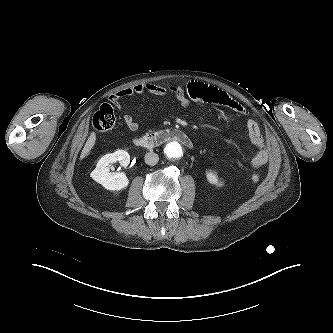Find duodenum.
<instances>
[{
	"label": "duodenum",
	"mask_w": 333,
	"mask_h": 333,
	"mask_svg": "<svg viewBox=\"0 0 333 333\" xmlns=\"http://www.w3.org/2000/svg\"><path fill=\"white\" fill-rule=\"evenodd\" d=\"M170 141L179 142L188 148L193 147V143L186 133L177 128L163 129L137 137L134 139V144L138 147L151 150Z\"/></svg>",
	"instance_id": "duodenum-1"
}]
</instances>
